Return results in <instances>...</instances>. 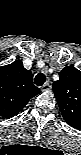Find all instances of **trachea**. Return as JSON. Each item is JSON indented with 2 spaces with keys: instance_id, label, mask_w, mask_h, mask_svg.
I'll list each match as a JSON object with an SVG mask.
<instances>
[{
  "instance_id": "obj_1",
  "label": "trachea",
  "mask_w": 81,
  "mask_h": 155,
  "mask_svg": "<svg viewBox=\"0 0 81 155\" xmlns=\"http://www.w3.org/2000/svg\"><path fill=\"white\" fill-rule=\"evenodd\" d=\"M46 81V76L43 73L36 75L34 82L37 86H42Z\"/></svg>"
}]
</instances>
